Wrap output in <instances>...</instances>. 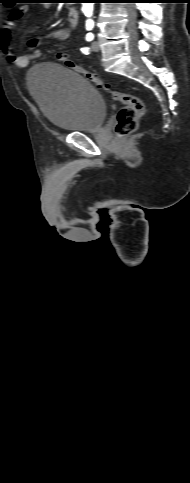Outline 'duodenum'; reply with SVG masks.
Wrapping results in <instances>:
<instances>
[{
    "label": "duodenum",
    "mask_w": 190,
    "mask_h": 483,
    "mask_svg": "<svg viewBox=\"0 0 190 483\" xmlns=\"http://www.w3.org/2000/svg\"><path fill=\"white\" fill-rule=\"evenodd\" d=\"M68 21L72 27H75L78 23L79 13L76 7H70L68 10Z\"/></svg>",
    "instance_id": "obj_1"
}]
</instances>
